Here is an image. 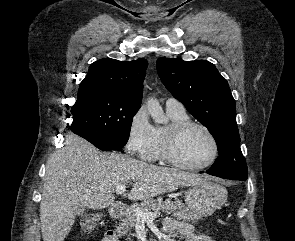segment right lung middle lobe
<instances>
[{
    "label": "right lung middle lobe",
    "instance_id": "right-lung-middle-lobe-1",
    "mask_svg": "<svg viewBox=\"0 0 295 241\" xmlns=\"http://www.w3.org/2000/svg\"><path fill=\"white\" fill-rule=\"evenodd\" d=\"M140 103L93 91L71 108V132L105 151L122 148L128 141L134 115Z\"/></svg>",
    "mask_w": 295,
    "mask_h": 241
}]
</instances>
